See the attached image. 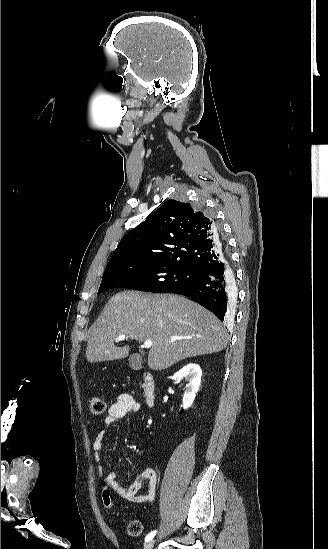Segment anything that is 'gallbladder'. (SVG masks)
I'll return each mask as SVG.
<instances>
[{
    "label": "gallbladder",
    "mask_w": 328,
    "mask_h": 549,
    "mask_svg": "<svg viewBox=\"0 0 328 549\" xmlns=\"http://www.w3.org/2000/svg\"><path fill=\"white\" fill-rule=\"evenodd\" d=\"M128 363L129 367H131V369H134V371H140V369H142V359L140 355H137V353H134V355H130Z\"/></svg>",
    "instance_id": "gallbladder-1"
}]
</instances>
